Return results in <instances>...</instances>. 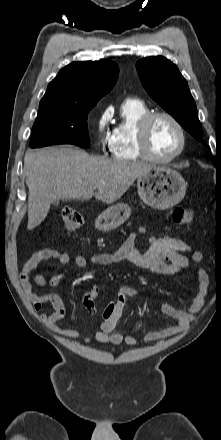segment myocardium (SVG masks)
Here are the masks:
<instances>
[{"label": "myocardium", "mask_w": 221, "mask_h": 440, "mask_svg": "<svg viewBox=\"0 0 221 440\" xmlns=\"http://www.w3.org/2000/svg\"><path fill=\"white\" fill-rule=\"evenodd\" d=\"M160 117L167 118L170 120L174 126L177 128L180 136V145L175 153H173L171 156L163 158L156 156L149 144V132L150 127L152 123ZM137 143L138 147L140 149V152L142 156L150 161L156 162V163H170L174 161L176 158H178L185 150L187 138H186V132L183 127V125L180 123V121L171 113L166 111H153L146 114L138 123L137 126Z\"/></svg>", "instance_id": "obj_1"}]
</instances>
